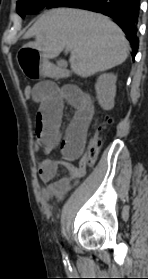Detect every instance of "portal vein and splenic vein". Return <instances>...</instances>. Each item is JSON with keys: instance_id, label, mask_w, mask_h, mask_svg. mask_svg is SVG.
<instances>
[{"instance_id": "1", "label": "portal vein and splenic vein", "mask_w": 148, "mask_h": 279, "mask_svg": "<svg viewBox=\"0 0 148 279\" xmlns=\"http://www.w3.org/2000/svg\"><path fill=\"white\" fill-rule=\"evenodd\" d=\"M70 50H71L70 48H66V50H65V51H66V52H69Z\"/></svg>"}]
</instances>
